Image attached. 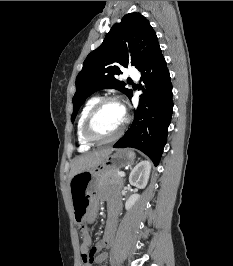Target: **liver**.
I'll return each instance as SVG.
<instances>
[{"instance_id":"1","label":"liver","mask_w":233,"mask_h":266,"mask_svg":"<svg viewBox=\"0 0 233 266\" xmlns=\"http://www.w3.org/2000/svg\"><path fill=\"white\" fill-rule=\"evenodd\" d=\"M112 151L113 149L108 148V149L89 152L84 155L76 157L71 165V170L69 173V181L76 174L100 164L103 161V159Z\"/></svg>"}]
</instances>
